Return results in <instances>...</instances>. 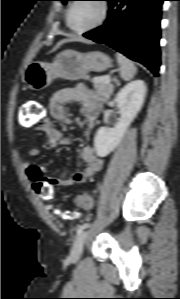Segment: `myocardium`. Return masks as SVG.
I'll use <instances>...</instances> for the list:
<instances>
[{"label": "myocardium", "mask_w": 180, "mask_h": 299, "mask_svg": "<svg viewBox=\"0 0 180 299\" xmlns=\"http://www.w3.org/2000/svg\"><path fill=\"white\" fill-rule=\"evenodd\" d=\"M94 1H96L100 6V16L95 23H93L92 25H90L86 28H83V29H76L70 23V14H71L73 6L75 5V3H77V0H73L69 4L67 11H66L65 21H66V25L70 31H72L73 33H76V34H84V33H87V32H90L92 30L99 28L100 26H102L105 23V21L107 20L108 14H109V4L107 3L106 0H94Z\"/></svg>", "instance_id": "obj_1"}]
</instances>
